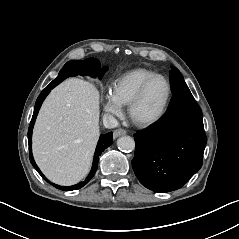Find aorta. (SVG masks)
I'll return each mask as SVG.
<instances>
[{"label":"aorta","mask_w":239,"mask_h":239,"mask_svg":"<svg viewBox=\"0 0 239 239\" xmlns=\"http://www.w3.org/2000/svg\"><path fill=\"white\" fill-rule=\"evenodd\" d=\"M117 146L122 151L131 152L135 149V141L132 137L123 136L118 139Z\"/></svg>","instance_id":"obj_1"}]
</instances>
